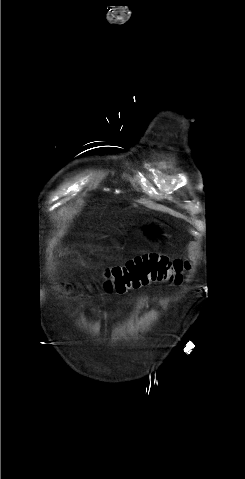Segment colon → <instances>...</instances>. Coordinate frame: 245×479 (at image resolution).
Masks as SVG:
<instances>
[{
	"label": "colon",
	"mask_w": 245,
	"mask_h": 479,
	"mask_svg": "<svg viewBox=\"0 0 245 479\" xmlns=\"http://www.w3.org/2000/svg\"><path fill=\"white\" fill-rule=\"evenodd\" d=\"M189 268L188 261L171 260L156 253L139 255L122 265L107 268L104 288L108 292L124 293L154 282L179 284Z\"/></svg>",
	"instance_id": "5ec220e1"
}]
</instances>
